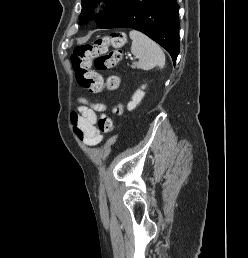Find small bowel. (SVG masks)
<instances>
[{"instance_id": "small-bowel-1", "label": "small bowel", "mask_w": 248, "mask_h": 258, "mask_svg": "<svg viewBox=\"0 0 248 258\" xmlns=\"http://www.w3.org/2000/svg\"><path fill=\"white\" fill-rule=\"evenodd\" d=\"M82 102L84 105L78 108L79 114L71 117L73 131L83 145L93 147L103 140L97 127V112L105 111L106 107L101 103H88L86 100Z\"/></svg>"}]
</instances>
